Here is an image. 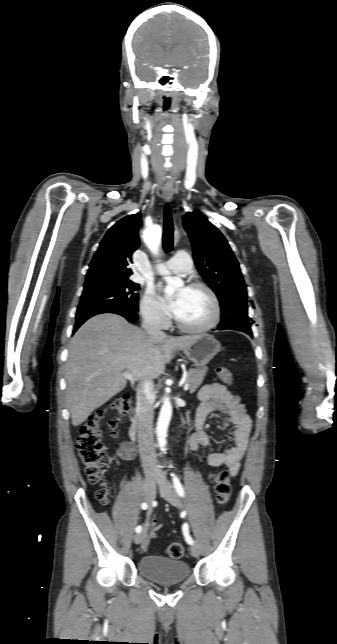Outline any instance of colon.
Instances as JSON below:
<instances>
[{
    "mask_svg": "<svg viewBox=\"0 0 337 644\" xmlns=\"http://www.w3.org/2000/svg\"><path fill=\"white\" fill-rule=\"evenodd\" d=\"M219 378L225 383H232V374L228 367L217 368ZM108 410L114 411L116 416L109 421V427L115 434L119 419L130 410V397L123 394L117 397L108 409H99L93 413L80 427L76 441V448L79 457L84 465L86 475L91 484L101 486L96 492V498L102 503L107 502V490L102 486L103 478L101 473L102 458L104 455V444L100 423ZM215 493L220 506H225L231 495L230 474L228 470L221 469L214 476ZM166 553L171 559H180L184 555V546L180 542L171 543Z\"/></svg>",
    "mask_w": 337,
    "mask_h": 644,
    "instance_id": "obj_1",
    "label": "colon"
}]
</instances>
